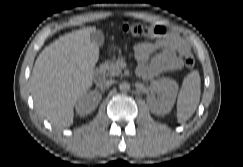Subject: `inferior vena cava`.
Masks as SVG:
<instances>
[{"label":"inferior vena cava","mask_w":243,"mask_h":167,"mask_svg":"<svg viewBox=\"0 0 243 167\" xmlns=\"http://www.w3.org/2000/svg\"><path fill=\"white\" fill-rule=\"evenodd\" d=\"M113 83H114V80L109 79V80L104 81L103 86H104V87H109V86H111Z\"/></svg>","instance_id":"1"}]
</instances>
